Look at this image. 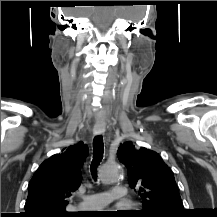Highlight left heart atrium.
<instances>
[{"mask_svg":"<svg viewBox=\"0 0 217 217\" xmlns=\"http://www.w3.org/2000/svg\"><path fill=\"white\" fill-rule=\"evenodd\" d=\"M103 215H104V217H117L118 212L110 211V212L104 213Z\"/></svg>","mask_w":217,"mask_h":217,"instance_id":"1","label":"left heart atrium"}]
</instances>
